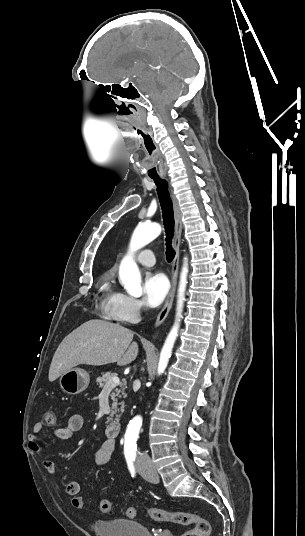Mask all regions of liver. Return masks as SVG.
I'll return each mask as SVG.
<instances>
[{"mask_svg": "<svg viewBox=\"0 0 305 536\" xmlns=\"http://www.w3.org/2000/svg\"><path fill=\"white\" fill-rule=\"evenodd\" d=\"M132 340L131 330L118 324H110L103 320L85 322L66 336L58 346L50 366L49 382H54L79 364L87 366H104L113 362H117V366L131 364L139 352L138 344Z\"/></svg>", "mask_w": 305, "mask_h": 536, "instance_id": "obj_1", "label": "liver"}]
</instances>
